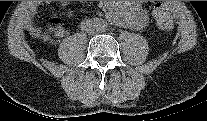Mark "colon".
I'll list each match as a JSON object with an SVG mask.
<instances>
[{
  "label": "colon",
  "instance_id": "5ec220e1",
  "mask_svg": "<svg viewBox=\"0 0 207 121\" xmlns=\"http://www.w3.org/2000/svg\"><path fill=\"white\" fill-rule=\"evenodd\" d=\"M153 15L157 26L163 30H171L174 26L172 10L166 2L156 3Z\"/></svg>",
  "mask_w": 207,
  "mask_h": 121
}]
</instances>
